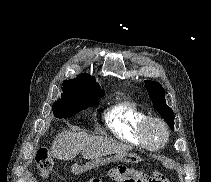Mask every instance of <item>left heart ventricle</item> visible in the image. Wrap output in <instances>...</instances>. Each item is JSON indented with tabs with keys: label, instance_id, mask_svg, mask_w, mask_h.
Returning <instances> with one entry per match:
<instances>
[{
	"label": "left heart ventricle",
	"instance_id": "left-heart-ventricle-1",
	"mask_svg": "<svg viewBox=\"0 0 211 182\" xmlns=\"http://www.w3.org/2000/svg\"><path fill=\"white\" fill-rule=\"evenodd\" d=\"M146 134L149 142L153 145L160 143L165 136L162 127L157 123L150 124L147 128Z\"/></svg>",
	"mask_w": 211,
	"mask_h": 182
}]
</instances>
